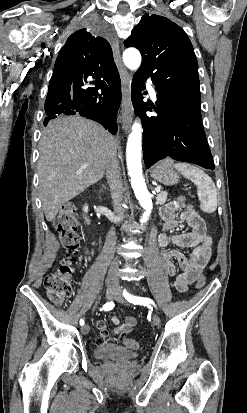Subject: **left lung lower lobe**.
Masks as SVG:
<instances>
[{"instance_id": "left-lung-lower-lobe-1", "label": "left lung lower lobe", "mask_w": 247, "mask_h": 413, "mask_svg": "<svg viewBox=\"0 0 247 413\" xmlns=\"http://www.w3.org/2000/svg\"><path fill=\"white\" fill-rule=\"evenodd\" d=\"M145 76L136 73L132 81V100L143 125V150L146 168L158 160H174L215 169L202 125L200 105L174 94L157 92V103L143 102ZM150 106V107H149ZM153 108L158 116L148 117L145 111Z\"/></svg>"}]
</instances>
